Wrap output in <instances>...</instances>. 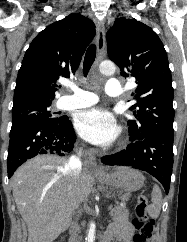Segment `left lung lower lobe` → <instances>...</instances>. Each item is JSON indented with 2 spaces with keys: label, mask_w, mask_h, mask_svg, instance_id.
I'll list each match as a JSON object with an SVG mask.
<instances>
[{
  "label": "left lung lower lobe",
  "mask_w": 187,
  "mask_h": 242,
  "mask_svg": "<svg viewBox=\"0 0 187 242\" xmlns=\"http://www.w3.org/2000/svg\"><path fill=\"white\" fill-rule=\"evenodd\" d=\"M173 140L174 134H152L133 141L125 150L104 156L101 161L106 165L131 166L146 171L158 179L168 193L173 166Z\"/></svg>",
  "instance_id": "obj_1"
}]
</instances>
